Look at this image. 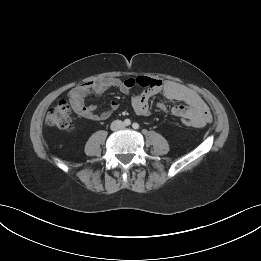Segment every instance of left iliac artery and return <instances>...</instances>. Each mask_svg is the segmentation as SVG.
<instances>
[{"label":"left iliac artery","mask_w":261,"mask_h":261,"mask_svg":"<svg viewBox=\"0 0 261 261\" xmlns=\"http://www.w3.org/2000/svg\"><path fill=\"white\" fill-rule=\"evenodd\" d=\"M132 127H133L134 129H138V128H139V124H138V123H133V124H132Z\"/></svg>","instance_id":"44dca946"}]
</instances>
